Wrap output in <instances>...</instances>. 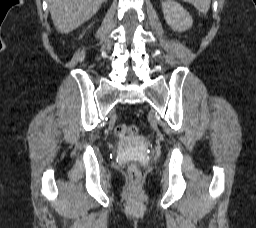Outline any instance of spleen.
<instances>
[{
  "mask_svg": "<svg viewBox=\"0 0 256 228\" xmlns=\"http://www.w3.org/2000/svg\"><path fill=\"white\" fill-rule=\"evenodd\" d=\"M183 1L194 5L196 9L203 14H206L208 12L210 7V2H211V0H183Z\"/></svg>",
  "mask_w": 256,
  "mask_h": 228,
  "instance_id": "spleen-1",
  "label": "spleen"
}]
</instances>
